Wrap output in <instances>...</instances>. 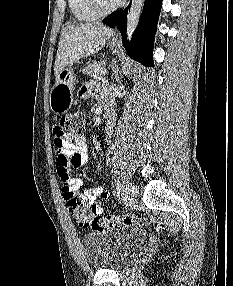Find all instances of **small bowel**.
<instances>
[{"instance_id":"small-bowel-1","label":"small bowel","mask_w":233,"mask_h":286,"mask_svg":"<svg viewBox=\"0 0 233 286\" xmlns=\"http://www.w3.org/2000/svg\"><path fill=\"white\" fill-rule=\"evenodd\" d=\"M99 94L104 99H108V93L105 87L97 86L91 83L85 84L79 93L81 98H88L93 94ZM109 128V127H108ZM109 130H107V133ZM55 160L54 167L56 174L62 186V196L66 202V195L73 193L78 196L86 206L95 208L100 214L103 209V203L99 200L106 199L109 196L108 191L102 186L80 192L82 181L75 177V174L84 168L89 161L88 146L82 136L72 134H60L57 128H54ZM82 227H86L81 222Z\"/></svg>"}]
</instances>
